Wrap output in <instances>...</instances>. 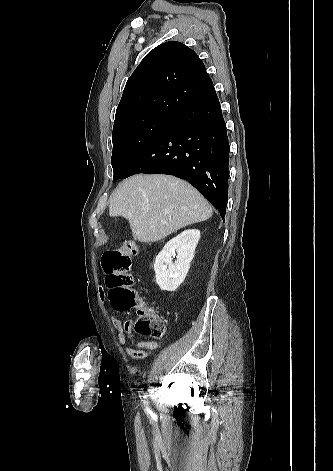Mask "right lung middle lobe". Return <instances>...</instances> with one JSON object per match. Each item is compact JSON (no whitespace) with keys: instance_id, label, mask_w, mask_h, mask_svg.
Instances as JSON below:
<instances>
[{"instance_id":"dd1d6c3e","label":"right lung middle lobe","mask_w":333,"mask_h":471,"mask_svg":"<svg viewBox=\"0 0 333 471\" xmlns=\"http://www.w3.org/2000/svg\"><path fill=\"white\" fill-rule=\"evenodd\" d=\"M175 115L144 112L114 122L112 142L113 182L117 181L144 150L174 120Z\"/></svg>"}]
</instances>
